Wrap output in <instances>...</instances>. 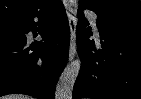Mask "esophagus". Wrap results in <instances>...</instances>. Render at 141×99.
Instances as JSON below:
<instances>
[{"label": "esophagus", "instance_id": "1", "mask_svg": "<svg viewBox=\"0 0 141 99\" xmlns=\"http://www.w3.org/2000/svg\"><path fill=\"white\" fill-rule=\"evenodd\" d=\"M65 5L70 27L69 60L71 61L76 54L77 3L76 0H66Z\"/></svg>", "mask_w": 141, "mask_h": 99}]
</instances>
